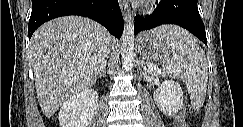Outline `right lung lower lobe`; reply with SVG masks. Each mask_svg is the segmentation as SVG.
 Segmentation results:
<instances>
[{
	"mask_svg": "<svg viewBox=\"0 0 243 127\" xmlns=\"http://www.w3.org/2000/svg\"><path fill=\"white\" fill-rule=\"evenodd\" d=\"M66 15L93 19L117 38L122 34L123 17L118 0H33L28 24L29 39L43 23Z\"/></svg>",
	"mask_w": 243,
	"mask_h": 127,
	"instance_id": "98d812e1",
	"label": "right lung lower lobe"
}]
</instances>
